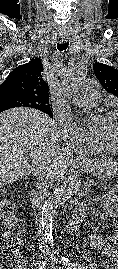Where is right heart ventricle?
Returning a JSON list of instances; mask_svg holds the SVG:
<instances>
[{"instance_id": "obj_1", "label": "right heart ventricle", "mask_w": 118, "mask_h": 269, "mask_svg": "<svg viewBox=\"0 0 118 269\" xmlns=\"http://www.w3.org/2000/svg\"><path fill=\"white\" fill-rule=\"evenodd\" d=\"M92 151L101 152V151H110L113 152L110 148L106 147L103 144H95L93 147L90 148Z\"/></svg>"}]
</instances>
